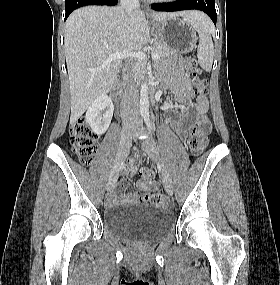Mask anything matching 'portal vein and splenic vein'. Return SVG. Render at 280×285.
I'll use <instances>...</instances> for the list:
<instances>
[{
  "label": "portal vein and splenic vein",
  "instance_id": "obj_1",
  "mask_svg": "<svg viewBox=\"0 0 280 285\" xmlns=\"http://www.w3.org/2000/svg\"><path fill=\"white\" fill-rule=\"evenodd\" d=\"M128 57L136 58L139 61H144L146 59V54L143 52H117L114 54L109 55L108 61L116 60V59H125ZM159 54L157 52L152 53V59L157 60L159 59Z\"/></svg>",
  "mask_w": 280,
  "mask_h": 285
}]
</instances>
